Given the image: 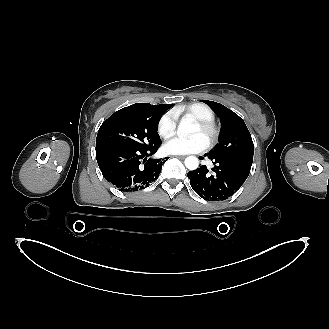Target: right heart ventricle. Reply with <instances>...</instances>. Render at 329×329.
<instances>
[{
	"label": "right heart ventricle",
	"instance_id": "e07e8e85",
	"mask_svg": "<svg viewBox=\"0 0 329 329\" xmlns=\"http://www.w3.org/2000/svg\"><path fill=\"white\" fill-rule=\"evenodd\" d=\"M176 116L182 115L185 118H191L194 120H211L215 118L214 111L203 103H191L181 106L175 111Z\"/></svg>",
	"mask_w": 329,
	"mask_h": 329
}]
</instances>
